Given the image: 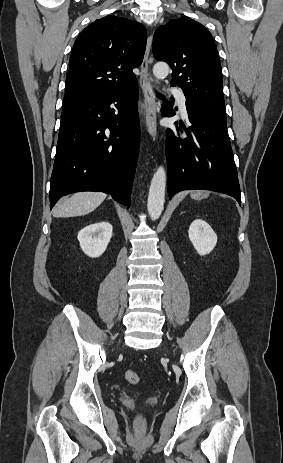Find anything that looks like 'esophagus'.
<instances>
[{"instance_id":"esophagus-1","label":"esophagus","mask_w":283,"mask_h":463,"mask_svg":"<svg viewBox=\"0 0 283 463\" xmlns=\"http://www.w3.org/2000/svg\"><path fill=\"white\" fill-rule=\"evenodd\" d=\"M152 45V36L147 39L146 51L141 64L140 86L144 96L146 127L153 139L157 135V103L151 87V77L149 72V55Z\"/></svg>"}]
</instances>
